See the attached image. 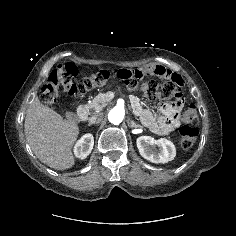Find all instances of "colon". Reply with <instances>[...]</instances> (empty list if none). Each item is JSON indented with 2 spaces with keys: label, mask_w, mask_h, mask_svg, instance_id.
<instances>
[{
  "label": "colon",
  "mask_w": 236,
  "mask_h": 236,
  "mask_svg": "<svg viewBox=\"0 0 236 236\" xmlns=\"http://www.w3.org/2000/svg\"><path fill=\"white\" fill-rule=\"evenodd\" d=\"M113 72L99 70L78 80V72L74 65L69 63L60 64L52 70L48 79L43 84L41 88V100L47 106L55 105L60 90L65 92L69 97L78 98L88 91L105 85L114 77ZM138 87L139 81L136 87L126 86L130 91H134ZM141 88L144 94L150 99L167 101L174 108H179L182 104V89L179 84H176L172 80L162 82L157 78H152L143 83ZM180 117L185 123L180 129V143L182 148L189 149L194 145L198 137L197 129L190 125L196 123L198 119L195 105H188Z\"/></svg>",
  "instance_id": "1"
}]
</instances>
